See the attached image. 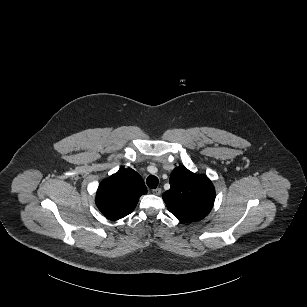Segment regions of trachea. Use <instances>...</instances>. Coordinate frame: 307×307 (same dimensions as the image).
<instances>
[{
    "mask_svg": "<svg viewBox=\"0 0 307 307\" xmlns=\"http://www.w3.org/2000/svg\"><path fill=\"white\" fill-rule=\"evenodd\" d=\"M146 183L148 187H150L151 189H155L159 184V180L156 176L150 175L147 177Z\"/></svg>",
    "mask_w": 307,
    "mask_h": 307,
    "instance_id": "1",
    "label": "trachea"
}]
</instances>
